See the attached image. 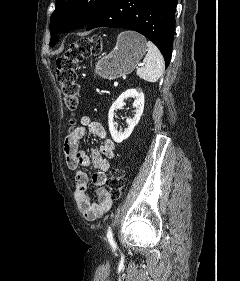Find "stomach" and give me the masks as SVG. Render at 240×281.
Returning a JSON list of instances; mask_svg holds the SVG:
<instances>
[{"instance_id": "0dacf381", "label": "stomach", "mask_w": 240, "mask_h": 281, "mask_svg": "<svg viewBox=\"0 0 240 281\" xmlns=\"http://www.w3.org/2000/svg\"><path fill=\"white\" fill-rule=\"evenodd\" d=\"M146 51V39L133 31L122 32L115 48L96 63L95 72L106 79L130 74Z\"/></svg>"}]
</instances>
